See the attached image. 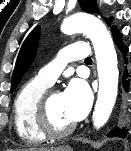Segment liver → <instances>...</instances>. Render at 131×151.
<instances>
[{
	"mask_svg": "<svg viewBox=\"0 0 131 151\" xmlns=\"http://www.w3.org/2000/svg\"><path fill=\"white\" fill-rule=\"evenodd\" d=\"M59 148H50V149H47V148H39V149H30V151H57Z\"/></svg>",
	"mask_w": 131,
	"mask_h": 151,
	"instance_id": "obj_1",
	"label": "liver"
}]
</instances>
